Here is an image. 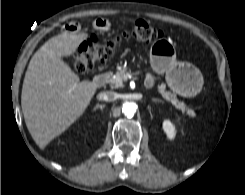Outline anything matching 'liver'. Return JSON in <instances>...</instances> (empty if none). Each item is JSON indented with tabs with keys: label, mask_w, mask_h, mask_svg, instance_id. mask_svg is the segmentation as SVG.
I'll use <instances>...</instances> for the list:
<instances>
[{
	"label": "liver",
	"mask_w": 245,
	"mask_h": 195,
	"mask_svg": "<svg viewBox=\"0 0 245 195\" xmlns=\"http://www.w3.org/2000/svg\"><path fill=\"white\" fill-rule=\"evenodd\" d=\"M87 37V33L52 37L29 62L21 106L28 131L41 149L85 112L97 90L91 82H80L62 60L73 55Z\"/></svg>",
	"instance_id": "6515ba94"
}]
</instances>
